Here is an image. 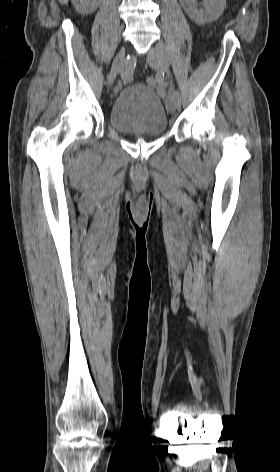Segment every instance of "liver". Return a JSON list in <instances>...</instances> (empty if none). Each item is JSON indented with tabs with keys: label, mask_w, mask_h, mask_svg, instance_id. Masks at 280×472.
I'll return each mask as SVG.
<instances>
[{
	"label": "liver",
	"mask_w": 280,
	"mask_h": 472,
	"mask_svg": "<svg viewBox=\"0 0 280 472\" xmlns=\"http://www.w3.org/2000/svg\"><path fill=\"white\" fill-rule=\"evenodd\" d=\"M59 2L62 3V4H67L68 0H59Z\"/></svg>",
	"instance_id": "obj_1"
}]
</instances>
